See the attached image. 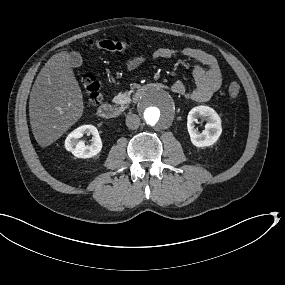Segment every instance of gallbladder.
<instances>
[{"mask_svg":"<svg viewBox=\"0 0 285 285\" xmlns=\"http://www.w3.org/2000/svg\"><path fill=\"white\" fill-rule=\"evenodd\" d=\"M69 59L73 67L83 66V58L79 52H71Z\"/></svg>","mask_w":285,"mask_h":285,"instance_id":"1","label":"gallbladder"}]
</instances>
